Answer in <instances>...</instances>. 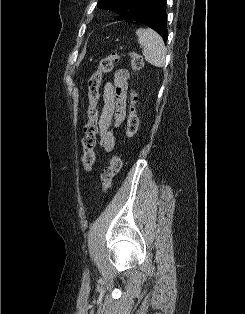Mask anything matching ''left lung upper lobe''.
Returning a JSON list of instances; mask_svg holds the SVG:
<instances>
[{"label": "left lung upper lobe", "mask_w": 245, "mask_h": 314, "mask_svg": "<svg viewBox=\"0 0 245 314\" xmlns=\"http://www.w3.org/2000/svg\"><path fill=\"white\" fill-rule=\"evenodd\" d=\"M145 0H99L97 7L109 9L119 14L118 20H129L134 16Z\"/></svg>", "instance_id": "5c2ea615"}]
</instances>
